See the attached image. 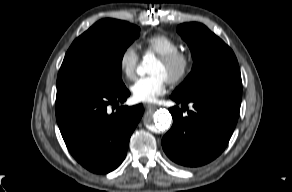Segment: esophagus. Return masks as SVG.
<instances>
[{"instance_id": "34e87169", "label": "esophagus", "mask_w": 292, "mask_h": 192, "mask_svg": "<svg viewBox=\"0 0 292 192\" xmlns=\"http://www.w3.org/2000/svg\"><path fill=\"white\" fill-rule=\"evenodd\" d=\"M146 109H155L157 106L155 104H145L144 105Z\"/></svg>"}]
</instances>
